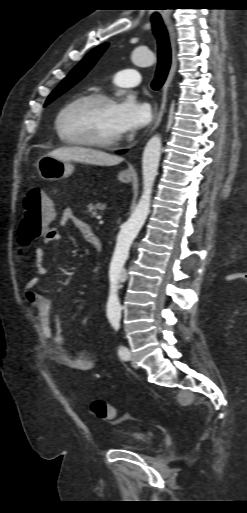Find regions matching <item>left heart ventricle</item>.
<instances>
[{"instance_id":"left-heart-ventricle-1","label":"left heart ventricle","mask_w":247,"mask_h":513,"mask_svg":"<svg viewBox=\"0 0 247 513\" xmlns=\"http://www.w3.org/2000/svg\"><path fill=\"white\" fill-rule=\"evenodd\" d=\"M115 103L81 102L61 120L66 137L109 140L121 136L115 120Z\"/></svg>"}]
</instances>
